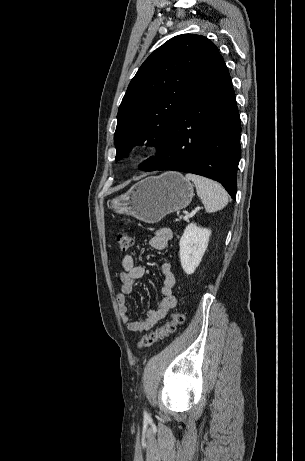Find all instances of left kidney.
<instances>
[{"instance_id": "left-kidney-1", "label": "left kidney", "mask_w": 305, "mask_h": 461, "mask_svg": "<svg viewBox=\"0 0 305 461\" xmlns=\"http://www.w3.org/2000/svg\"><path fill=\"white\" fill-rule=\"evenodd\" d=\"M211 230L189 224L180 239V262L184 272L194 273L207 249Z\"/></svg>"}]
</instances>
